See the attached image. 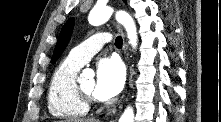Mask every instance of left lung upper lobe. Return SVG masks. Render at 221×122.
Instances as JSON below:
<instances>
[{
	"instance_id": "obj_1",
	"label": "left lung upper lobe",
	"mask_w": 221,
	"mask_h": 122,
	"mask_svg": "<svg viewBox=\"0 0 221 122\" xmlns=\"http://www.w3.org/2000/svg\"><path fill=\"white\" fill-rule=\"evenodd\" d=\"M73 27H74V19L71 18L65 23V25L63 26L60 32V35H59V38H58V41H57V44L53 53V57L51 59V63H55L57 59L61 56L64 49L66 48L71 38Z\"/></svg>"
}]
</instances>
